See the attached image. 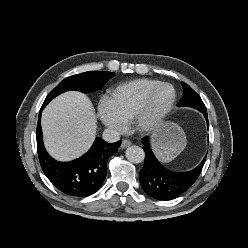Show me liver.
Wrapping results in <instances>:
<instances>
[{
    "instance_id": "1",
    "label": "liver",
    "mask_w": 248,
    "mask_h": 248,
    "mask_svg": "<svg viewBox=\"0 0 248 248\" xmlns=\"http://www.w3.org/2000/svg\"><path fill=\"white\" fill-rule=\"evenodd\" d=\"M41 125L50 155L69 161L93 144L97 129L94 107L83 93L70 91L53 99L43 110Z\"/></svg>"
}]
</instances>
